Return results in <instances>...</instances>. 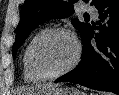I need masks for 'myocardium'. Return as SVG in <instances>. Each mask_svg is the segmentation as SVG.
<instances>
[{"mask_svg":"<svg viewBox=\"0 0 119 95\" xmlns=\"http://www.w3.org/2000/svg\"><path fill=\"white\" fill-rule=\"evenodd\" d=\"M58 34H64V35H67L72 38V40L74 41V44H75V56H74L73 60L71 61V63L68 66H66L64 69H62L56 73H46V72L42 71L41 68L37 64V60H36L37 50L46 39H48L54 35H58ZM81 55H82L81 43H80L79 39L77 38V36L72 31H70L66 28H62V27L51 28V29L45 31L44 33H42L40 36H38L37 39L32 44L30 52H29V63H30L31 69L33 70V72L36 75H38L42 79L51 80V79L59 78L65 74L69 73L74 68H76V66L80 62Z\"/></svg>","mask_w":119,"mask_h":95,"instance_id":"obj_1","label":"myocardium"}]
</instances>
